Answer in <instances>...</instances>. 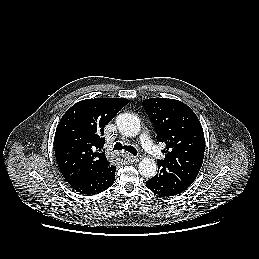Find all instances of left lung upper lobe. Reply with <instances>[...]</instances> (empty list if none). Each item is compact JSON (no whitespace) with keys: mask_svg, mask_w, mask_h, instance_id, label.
<instances>
[{"mask_svg":"<svg viewBox=\"0 0 259 259\" xmlns=\"http://www.w3.org/2000/svg\"><path fill=\"white\" fill-rule=\"evenodd\" d=\"M143 105L158 141L166 144L165 158L158 163L192 183L202 166L205 150L204 132L196 114L175 99H145Z\"/></svg>","mask_w":259,"mask_h":259,"instance_id":"obj_1","label":"left lung upper lobe"}]
</instances>
